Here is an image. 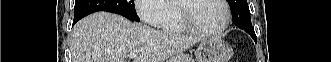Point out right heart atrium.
<instances>
[{"label":"right heart atrium","mask_w":331,"mask_h":62,"mask_svg":"<svg viewBox=\"0 0 331 62\" xmlns=\"http://www.w3.org/2000/svg\"><path fill=\"white\" fill-rule=\"evenodd\" d=\"M164 0H137L135 10L139 18L156 28H161L168 20V12L165 10Z\"/></svg>","instance_id":"d8ad5b80"}]
</instances>
